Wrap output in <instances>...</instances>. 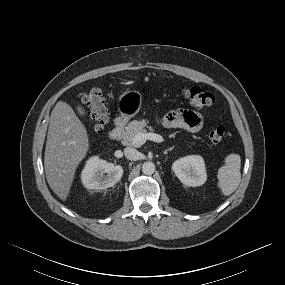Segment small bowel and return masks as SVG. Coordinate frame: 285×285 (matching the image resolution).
Instances as JSON below:
<instances>
[{
    "instance_id": "small-bowel-1",
    "label": "small bowel",
    "mask_w": 285,
    "mask_h": 285,
    "mask_svg": "<svg viewBox=\"0 0 285 285\" xmlns=\"http://www.w3.org/2000/svg\"><path fill=\"white\" fill-rule=\"evenodd\" d=\"M162 123L168 128H181L196 133L203 127V117L197 112L180 109L166 114Z\"/></svg>"
}]
</instances>
